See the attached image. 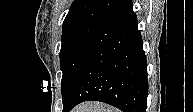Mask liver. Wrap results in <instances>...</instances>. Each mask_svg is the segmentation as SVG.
Returning <instances> with one entry per match:
<instances>
[{"mask_svg":"<svg viewBox=\"0 0 193 112\" xmlns=\"http://www.w3.org/2000/svg\"><path fill=\"white\" fill-rule=\"evenodd\" d=\"M72 112H119V110L100 102L91 101L81 103Z\"/></svg>","mask_w":193,"mask_h":112,"instance_id":"liver-1","label":"liver"}]
</instances>
